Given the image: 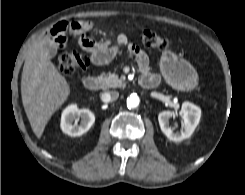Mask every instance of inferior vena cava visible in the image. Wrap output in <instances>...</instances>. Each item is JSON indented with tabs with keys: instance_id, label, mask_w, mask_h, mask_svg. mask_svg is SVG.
Returning <instances> with one entry per match:
<instances>
[{
	"instance_id": "602c4592",
	"label": "inferior vena cava",
	"mask_w": 245,
	"mask_h": 195,
	"mask_svg": "<svg viewBox=\"0 0 245 195\" xmlns=\"http://www.w3.org/2000/svg\"><path fill=\"white\" fill-rule=\"evenodd\" d=\"M119 97V93L117 91L104 92L101 94V98L105 102L115 101Z\"/></svg>"
}]
</instances>
